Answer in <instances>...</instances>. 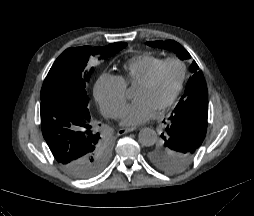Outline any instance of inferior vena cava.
Masks as SVG:
<instances>
[{
  "mask_svg": "<svg viewBox=\"0 0 254 216\" xmlns=\"http://www.w3.org/2000/svg\"><path fill=\"white\" fill-rule=\"evenodd\" d=\"M104 115H105V116H112V114L109 113V112H104Z\"/></svg>",
  "mask_w": 254,
  "mask_h": 216,
  "instance_id": "602c4592",
  "label": "inferior vena cava"
}]
</instances>
